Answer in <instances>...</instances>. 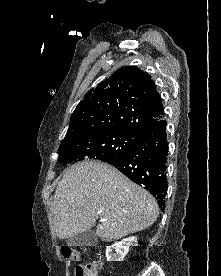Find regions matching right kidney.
I'll return each instance as SVG.
<instances>
[{"mask_svg":"<svg viewBox=\"0 0 221 276\" xmlns=\"http://www.w3.org/2000/svg\"><path fill=\"white\" fill-rule=\"evenodd\" d=\"M132 245L137 246V238L135 236L125 238L122 241L107 246V261H123L124 257L129 252V247ZM113 249L116 253H113Z\"/></svg>","mask_w":221,"mask_h":276,"instance_id":"ca27d5eb","label":"right kidney"}]
</instances>
